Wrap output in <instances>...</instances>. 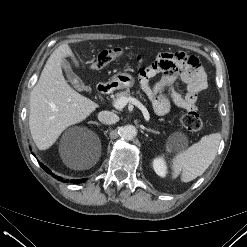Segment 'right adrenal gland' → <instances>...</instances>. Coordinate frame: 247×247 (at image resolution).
<instances>
[{
    "mask_svg": "<svg viewBox=\"0 0 247 247\" xmlns=\"http://www.w3.org/2000/svg\"><path fill=\"white\" fill-rule=\"evenodd\" d=\"M90 123L95 124V125H97V126H100V125H101L100 123H98V122H96V121H91Z\"/></svg>",
    "mask_w": 247,
    "mask_h": 247,
    "instance_id": "obj_1",
    "label": "right adrenal gland"
}]
</instances>
